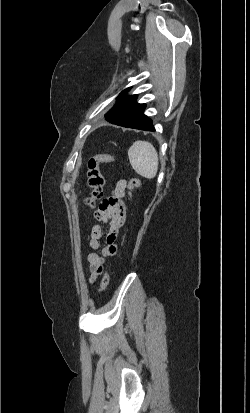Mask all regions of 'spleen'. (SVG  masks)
Listing matches in <instances>:
<instances>
[{
    "instance_id": "1",
    "label": "spleen",
    "mask_w": 250,
    "mask_h": 413,
    "mask_svg": "<svg viewBox=\"0 0 250 413\" xmlns=\"http://www.w3.org/2000/svg\"><path fill=\"white\" fill-rule=\"evenodd\" d=\"M132 168L141 176L152 179L158 171V155L154 146L147 141H135L128 149Z\"/></svg>"
}]
</instances>
